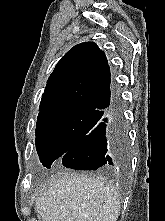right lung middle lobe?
Here are the masks:
<instances>
[{
  "mask_svg": "<svg viewBox=\"0 0 165 221\" xmlns=\"http://www.w3.org/2000/svg\"><path fill=\"white\" fill-rule=\"evenodd\" d=\"M100 119L99 111L55 110L39 113L36 149L43 166L62 157L89 133Z\"/></svg>",
  "mask_w": 165,
  "mask_h": 221,
  "instance_id": "dd1d6c3e",
  "label": "right lung middle lobe"
}]
</instances>
